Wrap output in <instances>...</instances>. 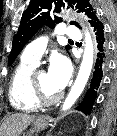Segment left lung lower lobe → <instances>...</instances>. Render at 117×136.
Masks as SVG:
<instances>
[{"mask_svg": "<svg viewBox=\"0 0 117 136\" xmlns=\"http://www.w3.org/2000/svg\"><path fill=\"white\" fill-rule=\"evenodd\" d=\"M94 32L97 45V54L94 71L85 96L80 105L77 107L78 110H80L86 115H89L91 112L92 106L97 98V94L101 87L103 76L109 64L108 45L104 32V26L101 22L97 23L94 26Z\"/></svg>", "mask_w": 117, "mask_h": 136, "instance_id": "1", "label": "left lung lower lobe"}]
</instances>
